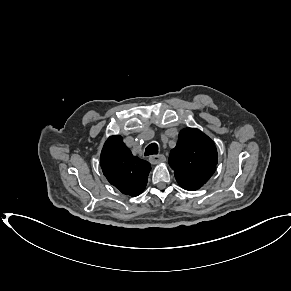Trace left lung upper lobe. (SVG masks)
Instances as JSON below:
<instances>
[{
	"instance_id": "obj_1",
	"label": "left lung upper lobe",
	"mask_w": 291,
	"mask_h": 291,
	"mask_svg": "<svg viewBox=\"0 0 291 291\" xmlns=\"http://www.w3.org/2000/svg\"><path fill=\"white\" fill-rule=\"evenodd\" d=\"M168 162L178 184L185 190L194 191L202 187L215 172L217 149L212 139L200 130L185 128L180 131Z\"/></svg>"
}]
</instances>
